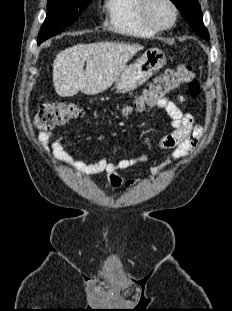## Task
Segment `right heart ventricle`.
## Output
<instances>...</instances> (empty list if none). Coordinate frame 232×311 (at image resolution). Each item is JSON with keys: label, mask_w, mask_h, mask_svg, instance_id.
<instances>
[{"label": "right heart ventricle", "mask_w": 232, "mask_h": 311, "mask_svg": "<svg viewBox=\"0 0 232 311\" xmlns=\"http://www.w3.org/2000/svg\"><path fill=\"white\" fill-rule=\"evenodd\" d=\"M141 0H106L104 9L108 25L116 32L134 37H149L157 33L147 26L139 13Z\"/></svg>", "instance_id": "e07e8e85"}]
</instances>
